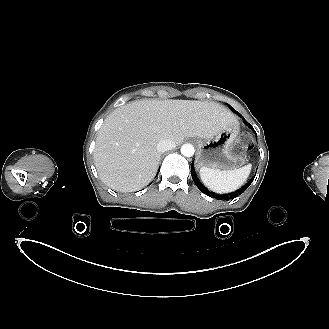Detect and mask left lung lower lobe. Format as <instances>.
<instances>
[{"mask_svg": "<svg viewBox=\"0 0 329 329\" xmlns=\"http://www.w3.org/2000/svg\"><path fill=\"white\" fill-rule=\"evenodd\" d=\"M240 117H242V116H240ZM243 120L255 132V130L253 129V127L244 118H243ZM191 174H192V178H193L194 183L196 184V186L199 188V190L201 192H203L207 196H213L214 198H217V199H220V200H230V199L236 198L238 195H241L250 186V184L253 182V180L255 178V176H254L246 185H244L242 188L238 189L235 192L224 194V195H217V194L209 191L206 187H204L200 183V181L198 180V178H197V176L195 174L193 165L191 166Z\"/></svg>", "mask_w": 329, "mask_h": 329, "instance_id": "left-lung-lower-lobe-1", "label": "left lung lower lobe"}]
</instances>
